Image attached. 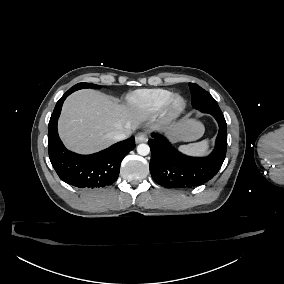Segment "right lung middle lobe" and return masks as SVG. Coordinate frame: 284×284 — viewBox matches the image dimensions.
Masks as SVG:
<instances>
[{"mask_svg": "<svg viewBox=\"0 0 284 284\" xmlns=\"http://www.w3.org/2000/svg\"><path fill=\"white\" fill-rule=\"evenodd\" d=\"M84 88L100 89L101 86L95 85V84H91V83H78L75 86H73L72 88H70V90L76 91V90L84 89Z\"/></svg>", "mask_w": 284, "mask_h": 284, "instance_id": "dd1d6c3e", "label": "right lung middle lobe"}]
</instances>
